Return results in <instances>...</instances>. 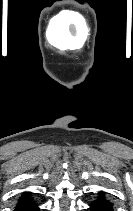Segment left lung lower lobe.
<instances>
[{"mask_svg": "<svg viewBox=\"0 0 133 211\" xmlns=\"http://www.w3.org/2000/svg\"><path fill=\"white\" fill-rule=\"evenodd\" d=\"M106 193L100 191L98 197L89 206L90 211H113V204L106 198Z\"/></svg>", "mask_w": 133, "mask_h": 211, "instance_id": "1", "label": "left lung lower lobe"}]
</instances>
